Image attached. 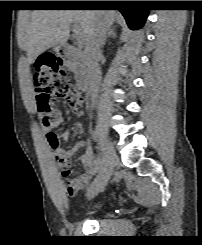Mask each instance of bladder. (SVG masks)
I'll return each instance as SVG.
<instances>
[{"mask_svg": "<svg viewBox=\"0 0 202 245\" xmlns=\"http://www.w3.org/2000/svg\"><path fill=\"white\" fill-rule=\"evenodd\" d=\"M105 210V205H96L93 209V213H102Z\"/></svg>", "mask_w": 202, "mask_h": 245, "instance_id": "obj_1", "label": "bladder"}]
</instances>
